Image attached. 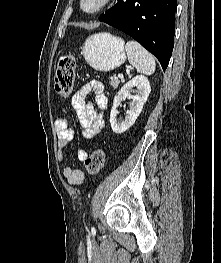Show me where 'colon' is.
I'll return each mask as SVG.
<instances>
[{
	"mask_svg": "<svg viewBox=\"0 0 221 263\" xmlns=\"http://www.w3.org/2000/svg\"><path fill=\"white\" fill-rule=\"evenodd\" d=\"M75 58L71 55L61 57L55 75V92L60 98L71 95L75 79ZM105 163V152L96 149L85 159V167L90 175H97Z\"/></svg>",
	"mask_w": 221,
	"mask_h": 263,
	"instance_id": "1",
	"label": "colon"
}]
</instances>
